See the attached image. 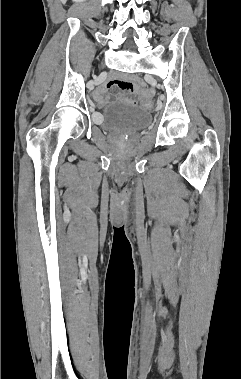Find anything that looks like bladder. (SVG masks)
Returning <instances> with one entry per match:
<instances>
[{"mask_svg":"<svg viewBox=\"0 0 241 379\" xmlns=\"http://www.w3.org/2000/svg\"><path fill=\"white\" fill-rule=\"evenodd\" d=\"M151 122L148 110L131 103L109 106L101 116L103 129L116 133H133L145 129Z\"/></svg>","mask_w":241,"mask_h":379,"instance_id":"1","label":"bladder"}]
</instances>
